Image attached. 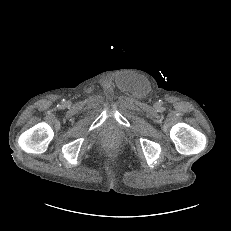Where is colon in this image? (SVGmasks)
<instances>
[{
	"label": "colon",
	"mask_w": 231,
	"mask_h": 231,
	"mask_svg": "<svg viewBox=\"0 0 231 231\" xmlns=\"http://www.w3.org/2000/svg\"><path fill=\"white\" fill-rule=\"evenodd\" d=\"M105 145L107 148H112L114 146V142L112 139H107Z\"/></svg>",
	"instance_id": "colon-1"
}]
</instances>
